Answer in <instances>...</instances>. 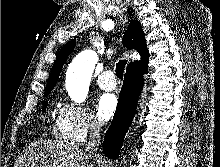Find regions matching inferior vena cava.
<instances>
[{
	"label": "inferior vena cava",
	"instance_id": "obj_1",
	"mask_svg": "<svg viewBox=\"0 0 220 167\" xmlns=\"http://www.w3.org/2000/svg\"><path fill=\"white\" fill-rule=\"evenodd\" d=\"M90 140L86 144L85 151L93 154L96 151L97 147L99 146L100 142V127L96 122L90 123Z\"/></svg>",
	"mask_w": 220,
	"mask_h": 167
}]
</instances>
